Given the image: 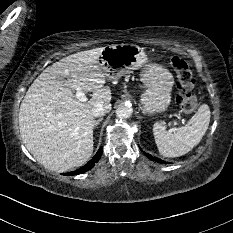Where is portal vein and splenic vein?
<instances>
[{
  "label": "portal vein and splenic vein",
  "mask_w": 233,
  "mask_h": 233,
  "mask_svg": "<svg viewBox=\"0 0 233 233\" xmlns=\"http://www.w3.org/2000/svg\"><path fill=\"white\" fill-rule=\"evenodd\" d=\"M73 88L76 90V97L79 101L84 102L87 100L85 93L82 91V89L79 86L74 85Z\"/></svg>",
  "instance_id": "obj_1"
}]
</instances>
